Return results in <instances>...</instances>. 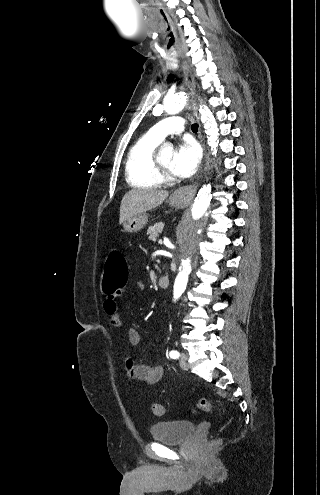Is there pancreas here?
Masks as SVG:
<instances>
[{
	"label": "pancreas",
	"mask_w": 320,
	"mask_h": 495,
	"mask_svg": "<svg viewBox=\"0 0 320 495\" xmlns=\"http://www.w3.org/2000/svg\"><path fill=\"white\" fill-rule=\"evenodd\" d=\"M164 224L162 222L156 223L154 226H150L147 230L148 239L155 241L162 233Z\"/></svg>",
	"instance_id": "cf45deb5"
}]
</instances>
